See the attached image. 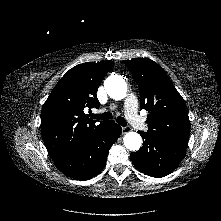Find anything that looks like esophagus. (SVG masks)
Wrapping results in <instances>:
<instances>
[{"label":"esophagus","instance_id":"34e87169","mask_svg":"<svg viewBox=\"0 0 221 221\" xmlns=\"http://www.w3.org/2000/svg\"><path fill=\"white\" fill-rule=\"evenodd\" d=\"M130 130H131V129H130V127H128V126L122 127V133H123V134L128 133Z\"/></svg>","mask_w":221,"mask_h":221}]
</instances>
